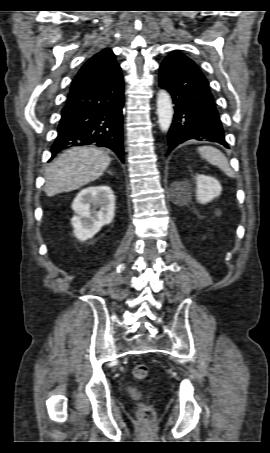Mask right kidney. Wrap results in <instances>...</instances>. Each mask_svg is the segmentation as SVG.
<instances>
[{
  "mask_svg": "<svg viewBox=\"0 0 270 453\" xmlns=\"http://www.w3.org/2000/svg\"><path fill=\"white\" fill-rule=\"evenodd\" d=\"M72 209L76 213L71 219L74 236L81 241L88 240L112 222L115 215L114 193L105 185L85 188L77 194Z\"/></svg>",
  "mask_w": 270,
  "mask_h": 453,
  "instance_id": "1",
  "label": "right kidney"
}]
</instances>
